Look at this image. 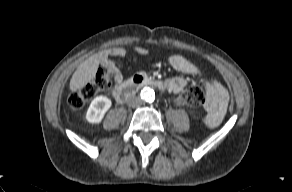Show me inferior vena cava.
Instances as JSON below:
<instances>
[{"label": "inferior vena cava", "instance_id": "inferior-vena-cava-1", "mask_svg": "<svg viewBox=\"0 0 292 192\" xmlns=\"http://www.w3.org/2000/svg\"><path fill=\"white\" fill-rule=\"evenodd\" d=\"M142 103H143L142 99L137 96H131L127 101V104L130 107H139L142 105Z\"/></svg>", "mask_w": 292, "mask_h": 192}]
</instances>
